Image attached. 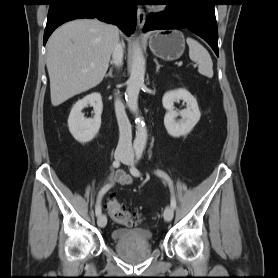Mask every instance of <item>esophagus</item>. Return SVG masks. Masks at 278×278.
Instances as JSON below:
<instances>
[{"label":"esophagus","mask_w":278,"mask_h":278,"mask_svg":"<svg viewBox=\"0 0 278 278\" xmlns=\"http://www.w3.org/2000/svg\"><path fill=\"white\" fill-rule=\"evenodd\" d=\"M145 19H146L145 11L141 7H138V9H137V21H138V26H139L140 29L143 28V26L145 24Z\"/></svg>","instance_id":"esophagus-1"}]
</instances>
